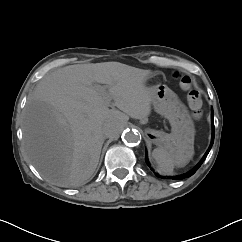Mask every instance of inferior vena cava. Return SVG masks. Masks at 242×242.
Here are the masks:
<instances>
[{"mask_svg":"<svg viewBox=\"0 0 242 242\" xmlns=\"http://www.w3.org/2000/svg\"><path fill=\"white\" fill-rule=\"evenodd\" d=\"M121 122L117 118H112L103 128V134L107 138H112L119 132Z\"/></svg>","mask_w":242,"mask_h":242,"instance_id":"inferior-vena-cava-1","label":"inferior vena cava"}]
</instances>
